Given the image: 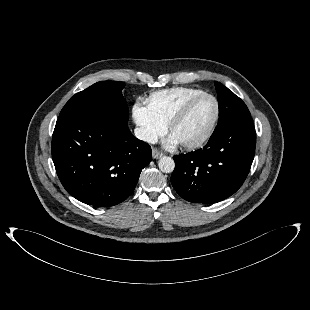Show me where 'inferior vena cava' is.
I'll use <instances>...</instances> for the list:
<instances>
[{"mask_svg":"<svg viewBox=\"0 0 310 310\" xmlns=\"http://www.w3.org/2000/svg\"><path fill=\"white\" fill-rule=\"evenodd\" d=\"M134 133L136 138L147 143L155 144L157 142V136L143 128H135Z\"/></svg>","mask_w":310,"mask_h":310,"instance_id":"602c4592","label":"inferior vena cava"}]
</instances>
